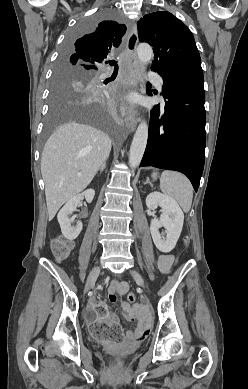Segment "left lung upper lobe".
I'll use <instances>...</instances> for the list:
<instances>
[{
	"instance_id": "obj_1",
	"label": "left lung upper lobe",
	"mask_w": 248,
	"mask_h": 389,
	"mask_svg": "<svg viewBox=\"0 0 248 389\" xmlns=\"http://www.w3.org/2000/svg\"><path fill=\"white\" fill-rule=\"evenodd\" d=\"M140 42L153 47L151 66L162 78L201 71V59L191 31L167 11L145 15L137 23Z\"/></svg>"
}]
</instances>
